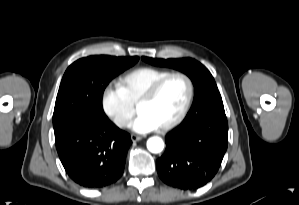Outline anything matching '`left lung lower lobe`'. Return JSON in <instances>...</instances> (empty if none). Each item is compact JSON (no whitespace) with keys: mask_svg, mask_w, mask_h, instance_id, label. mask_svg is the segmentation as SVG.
<instances>
[{"mask_svg":"<svg viewBox=\"0 0 299 205\" xmlns=\"http://www.w3.org/2000/svg\"><path fill=\"white\" fill-rule=\"evenodd\" d=\"M166 150L157 159L161 180L174 188L194 190L217 173L228 146V123L224 110L198 119H184L166 135Z\"/></svg>","mask_w":299,"mask_h":205,"instance_id":"obj_1","label":"left lung lower lobe"}]
</instances>
